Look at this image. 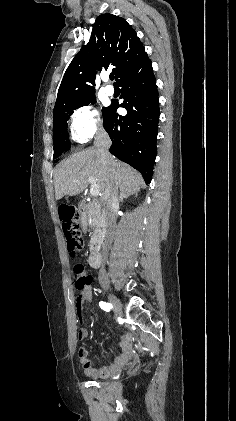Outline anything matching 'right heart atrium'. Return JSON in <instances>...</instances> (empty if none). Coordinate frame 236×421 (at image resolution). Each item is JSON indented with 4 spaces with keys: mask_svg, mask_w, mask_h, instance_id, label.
<instances>
[{
    "mask_svg": "<svg viewBox=\"0 0 236 421\" xmlns=\"http://www.w3.org/2000/svg\"><path fill=\"white\" fill-rule=\"evenodd\" d=\"M102 130L101 112L93 105L82 106L71 115L70 132L76 143L85 144Z\"/></svg>",
    "mask_w": 236,
    "mask_h": 421,
    "instance_id": "1",
    "label": "right heart atrium"
}]
</instances>
